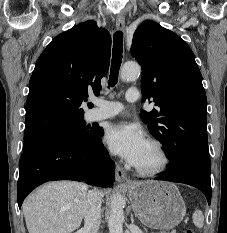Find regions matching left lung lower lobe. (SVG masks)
Here are the masks:
<instances>
[{
    "label": "left lung lower lobe",
    "instance_id": "left-lung-lower-lobe-1",
    "mask_svg": "<svg viewBox=\"0 0 227 233\" xmlns=\"http://www.w3.org/2000/svg\"><path fill=\"white\" fill-rule=\"evenodd\" d=\"M156 179L194 186L204 193L208 204L211 203L210 169L201 164L185 162L173 168H168L163 175Z\"/></svg>",
    "mask_w": 227,
    "mask_h": 233
}]
</instances>
